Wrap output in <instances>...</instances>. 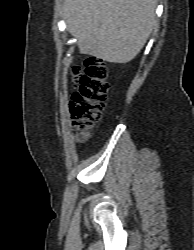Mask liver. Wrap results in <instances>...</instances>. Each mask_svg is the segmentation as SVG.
<instances>
[{
  "label": "liver",
  "mask_w": 194,
  "mask_h": 250,
  "mask_svg": "<svg viewBox=\"0 0 194 250\" xmlns=\"http://www.w3.org/2000/svg\"><path fill=\"white\" fill-rule=\"evenodd\" d=\"M157 0H65L63 16L81 54L127 63L156 23Z\"/></svg>",
  "instance_id": "liver-1"
}]
</instances>
